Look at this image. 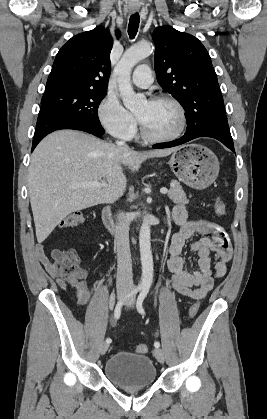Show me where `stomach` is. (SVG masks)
Instances as JSON below:
<instances>
[{
  "instance_id": "1",
  "label": "stomach",
  "mask_w": 267,
  "mask_h": 419,
  "mask_svg": "<svg viewBox=\"0 0 267 419\" xmlns=\"http://www.w3.org/2000/svg\"><path fill=\"white\" fill-rule=\"evenodd\" d=\"M169 165L181 182L198 190L209 187L219 173L217 156L201 144L178 147L173 152Z\"/></svg>"
}]
</instances>
